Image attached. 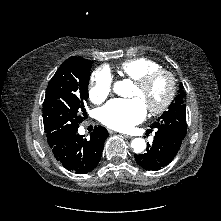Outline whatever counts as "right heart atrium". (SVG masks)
Listing matches in <instances>:
<instances>
[{
    "mask_svg": "<svg viewBox=\"0 0 221 221\" xmlns=\"http://www.w3.org/2000/svg\"><path fill=\"white\" fill-rule=\"evenodd\" d=\"M113 80L109 71L99 68L93 72L90 80L89 98L94 103H102L112 91Z\"/></svg>",
    "mask_w": 221,
    "mask_h": 221,
    "instance_id": "d8ad5b80",
    "label": "right heart atrium"
}]
</instances>
